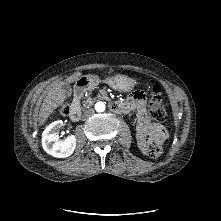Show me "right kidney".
I'll list each match as a JSON object with an SVG mask.
<instances>
[{
  "instance_id": "ca27d5eb",
  "label": "right kidney",
  "mask_w": 221,
  "mask_h": 221,
  "mask_svg": "<svg viewBox=\"0 0 221 221\" xmlns=\"http://www.w3.org/2000/svg\"><path fill=\"white\" fill-rule=\"evenodd\" d=\"M63 125V121H55L42 134L43 149L48 154L57 158L69 157L76 147V138L73 135L68 136L64 140L59 139L58 133Z\"/></svg>"
}]
</instances>
